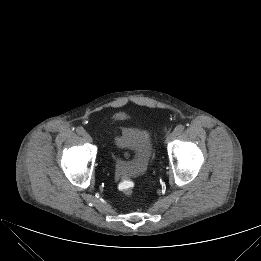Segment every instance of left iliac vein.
Instances as JSON below:
<instances>
[{"label": "left iliac vein", "mask_w": 261, "mask_h": 261, "mask_svg": "<svg viewBox=\"0 0 261 261\" xmlns=\"http://www.w3.org/2000/svg\"><path fill=\"white\" fill-rule=\"evenodd\" d=\"M177 136H178V134H177L175 131L171 132V133L166 137V142H171V141L174 140Z\"/></svg>", "instance_id": "obj_1"}]
</instances>
